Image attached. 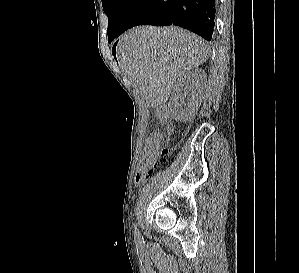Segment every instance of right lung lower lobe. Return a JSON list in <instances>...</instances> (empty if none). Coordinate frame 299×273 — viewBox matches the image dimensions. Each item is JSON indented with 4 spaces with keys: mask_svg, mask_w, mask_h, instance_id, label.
<instances>
[{
    "mask_svg": "<svg viewBox=\"0 0 299 273\" xmlns=\"http://www.w3.org/2000/svg\"><path fill=\"white\" fill-rule=\"evenodd\" d=\"M216 0H134L115 35L137 25H176L207 41L215 26Z\"/></svg>",
    "mask_w": 299,
    "mask_h": 273,
    "instance_id": "right-lung-lower-lobe-1",
    "label": "right lung lower lobe"
}]
</instances>
